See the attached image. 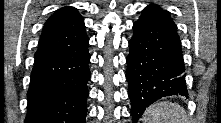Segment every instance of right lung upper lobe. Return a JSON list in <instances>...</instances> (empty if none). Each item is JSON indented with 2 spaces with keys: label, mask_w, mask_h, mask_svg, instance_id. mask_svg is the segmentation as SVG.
<instances>
[{
  "label": "right lung upper lobe",
  "mask_w": 221,
  "mask_h": 123,
  "mask_svg": "<svg viewBox=\"0 0 221 123\" xmlns=\"http://www.w3.org/2000/svg\"><path fill=\"white\" fill-rule=\"evenodd\" d=\"M85 31L84 20L76 8L58 9L44 24L39 45L60 43L75 38Z\"/></svg>",
  "instance_id": "cb5924a9"
}]
</instances>
